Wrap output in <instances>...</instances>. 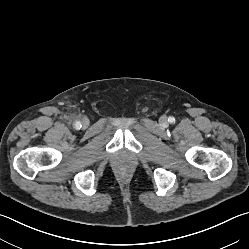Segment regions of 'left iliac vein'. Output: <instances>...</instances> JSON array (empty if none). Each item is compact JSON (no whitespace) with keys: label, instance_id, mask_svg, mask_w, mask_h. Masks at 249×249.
Here are the masks:
<instances>
[{"label":"left iliac vein","instance_id":"obj_1","mask_svg":"<svg viewBox=\"0 0 249 249\" xmlns=\"http://www.w3.org/2000/svg\"><path fill=\"white\" fill-rule=\"evenodd\" d=\"M159 123L162 127H167L168 126V120L166 116H161L159 119Z\"/></svg>","mask_w":249,"mask_h":249}]
</instances>
